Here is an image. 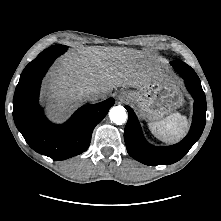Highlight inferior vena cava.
<instances>
[{
    "mask_svg": "<svg viewBox=\"0 0 221 221\" xmlns=\"http://www.w3.org/2000/svg\"><path fill=\"white\" fill-rule=\"evenodd\" d=\"M82 95L86 100L94 101L99 99L100 91L97 88L89 87L83 90Z\"/></svg>",
    "mask_w": 221,
    "mask_h": 221,
    "instance_id": "obj_1",
    "label": "inferior vena cava"
}]
</instances>
